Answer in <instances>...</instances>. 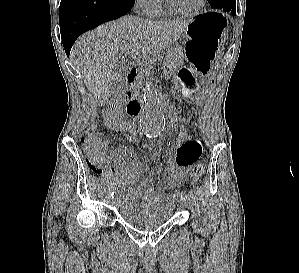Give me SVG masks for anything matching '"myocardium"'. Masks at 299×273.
Here are the masks:
<instances>
[{"label":"myocardium","instance_id":"f54148a6","mask_svg":"<svg viewBox=\"0 0 299 273\" xmlns=\"http://www.w3.org/2000/svg\"><path fill=\"white\" fill-rule=\"evenodd\" d=\"M165 7L168 9L169 12L182 15V16H195L201 12V10L205 7L206 0H200L199 4L192 10H182L176 7L171 0H164Z\"/></svg>","mask_w":299,"mask_h":273}]
</instances>
